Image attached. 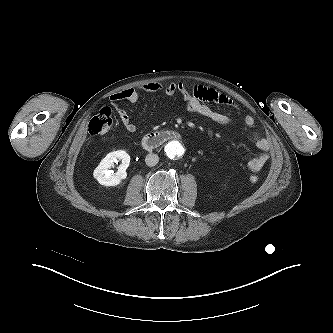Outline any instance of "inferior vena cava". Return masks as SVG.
I'll list each match as a JSON object with an SVG mask.
<instances>
[{"instance_id":"obj_1","label":"inferior vena cava","mask_w":333,"mask_h":333,"mask_svg":"<svg viewBox=\"0 0 333 333\" xmlns=\"http://www.w3.org/2000/svg\"><path fill=\"white\" fill-rule=\"evenodd\" d=\"M159 161V157L157 154H153V153H150L146 156L145 158V163L152 167V166H155Z\"/></svg>"}]
</instances>
